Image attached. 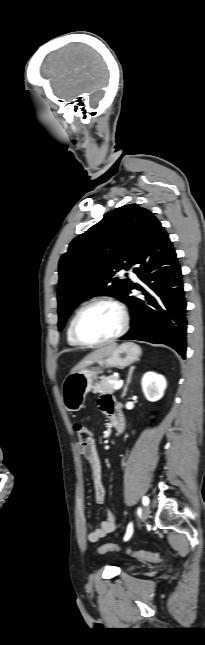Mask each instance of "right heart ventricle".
I'll return each instance as SVG.
<instances>
[{
	"label": "right heart ventricle",
	"instance_id": "1",
	"mask_svg": "<svg viewBox=\"0 0 205 645\" xmlns=\"http://www.w3.org/2000/svg\"><path fill=\"white\" fill-rule=\"evenodd\" d=\"M71 321L68 325L67 332H66L67 341L71 346H79V344L75 341L71 333Z\"/></svg>",
	"mask_w": 205,
	"mask_h": 645
}]
</instances>
